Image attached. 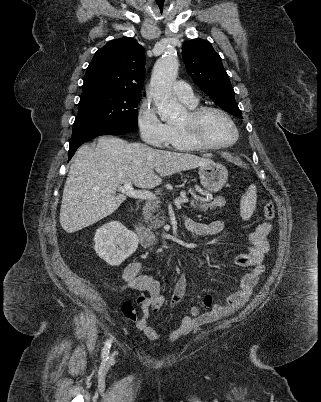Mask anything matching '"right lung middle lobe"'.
<instances>
[{"label":"right lung middle lobe","instance_id":"1","mask_svg":"<svg viewBox=\"0 0 321 402\" xmlns=\"http://www.w3.org/2000/svg\"><path fill=\"white\" fill-rule=\"evenodd\" d=\"M140 95L106 89H83L79 112L73 126L88 124H127L137 127V104Z\"/></svg>","mask_w":321,"mask_h":402}]
</instances>
